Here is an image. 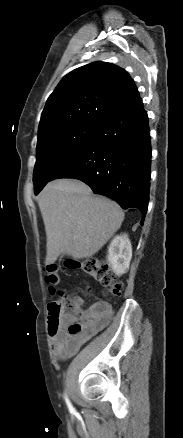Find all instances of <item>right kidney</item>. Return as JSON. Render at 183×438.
<instances>
[{
	"label": "right kidney",
	"instance_id": "1",
	"mask_svg": "<svg viewBox=\"0 0 183 438\" xmlns=\"http://www.w3.org/2000/svg\"><path fill=\"white\" fill-rule=\"evenodd\" d=\"M132 258V246L127 234L115 236L108 247L107 260L117 275L124 274Z\"/></svg>",
	"mask_w": 183,
	"mask_h": 438
}]
</instances>
